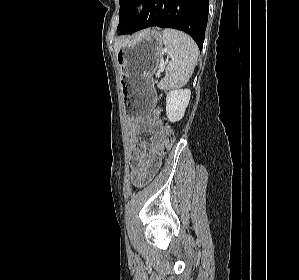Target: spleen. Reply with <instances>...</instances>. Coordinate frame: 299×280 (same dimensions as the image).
<instances>
[{
	"label": "spleen",
	"mask_w": 299,
	"mask_h": 280,
	"mask_svg": "<svg viewBox=\"0 0 299 280\" xmlns=\"http://www.w3.org/2000/svg\"><path fill=\"white\" fill-rule=\"evenodd\" d=\"M163 43L171 54L165 77L157 85L169 90L184 86L193 74L197 64L199 49L194 40L181 31L164 29Z\"/></svg>",
	"instance_id": "1"
}]
</instances>
